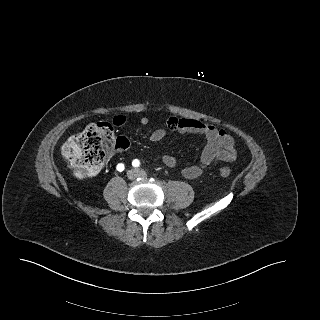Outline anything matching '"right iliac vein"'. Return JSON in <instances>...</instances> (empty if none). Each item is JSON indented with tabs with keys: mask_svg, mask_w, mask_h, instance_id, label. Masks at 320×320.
Returning a JSON list of instances; mask_svg holds the SVG:
<instances>
[{
	"mask_svg": "<svg viewBox=\"0 0 320 320\" xmlns=\"http://www.w3.org/2000/svg\"><path fill=\"white\" fill-rule=\"evenodd\" d=\"M137 176H138V175H137V173H136L135 170H129V171L127 172V177H128V179H130V180H134Z\"/></svg>",
	"mask_w": 320,
	"mask_h": 320,
	"instance_id": "1",
	"label": "right iliac vein"
}]
</instances>
